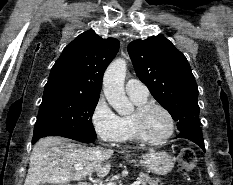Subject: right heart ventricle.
<instances>
[{"label": "right heart ventricle", "instance_id": "1", "mask_svg": "<svg viewBox=\"0 0 233 185\" xmlns=\"http://www.w3.org/2000/svg\"><path fill=\"white\" fill-rule=\"evenodd\" d=\"M131 99L136 105H140L146 102V98L140 99V98L131 97ZM121 119H122L123 126H124V133H123L121 142H135L137 139L133 132L130 117H122Z\"/></svg>", "mask_w": 233, "mask_h": 185}]
</instances>
